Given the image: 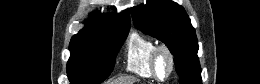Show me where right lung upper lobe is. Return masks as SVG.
<instances>
[{
	"label": "right lung upper lobe",
	"mask_w": 260,
	"mask_h": 84,
	"mask_svg": "<svg viewBox=\"0 0 260 84\" xmlns=\"http://www.w3.org/2000/svg\"><path fill=\"white\" fill-rule=\"evenodd\" d=\"M130 29L129 11L125 10L119 14L111 15L93 12L89 15V23L85 28L74 35L70 44L87 42L101 37L109 31H124Z\"/></svg>",
	"instance_id": "obj_1"
}]
</instances>
